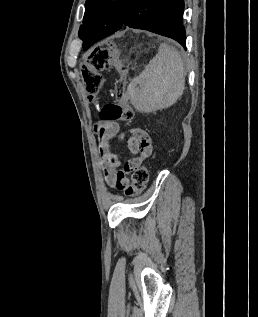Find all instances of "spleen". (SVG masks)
<instances>
[{"mask_svg":"<svg viewBox=\"0 0 258 317\" xmlns=\"http://www.w3.org/2000/svg\"><path fill=\"white\" fill-rule=\"evenodd\" d=\"M184 72L180 52L163 42L143 72L127 86L133 106L139 112H153L171 106L183 94ZM136 84H139V88H135Z\"/></svg>","mask_w":258,"mask_h":317,"instance_id":"obj_1","label":"spleen"}]
</instances>
